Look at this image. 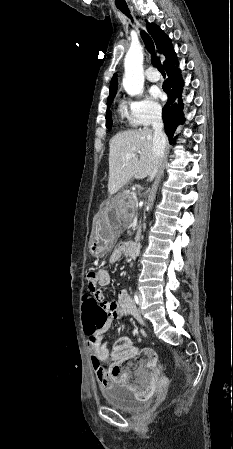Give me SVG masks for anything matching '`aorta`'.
<instances>
[{"instance_id":"obj_1","label":"aorta","mask_w":233,"mask_h":449,"mask_svg":"<svg viewBox=\"0 0 233 449\" xmlns=\"http://www.w3.org/2000/svg\"><path fill=\"white\" fill-rule=\"evenodd\" d=\"M125 73L123 77V87L131 95L143 93V51L141 46H132L126 54L124 60Z\"/></svg>"}]
</instances>
